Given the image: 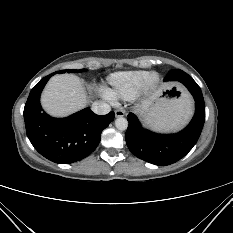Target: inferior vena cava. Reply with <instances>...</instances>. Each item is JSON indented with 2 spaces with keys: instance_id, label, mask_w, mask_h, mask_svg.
<instances>
[{
  "instance_id": "602c4592",
  "label": "inferior vena cava",
  "mask_w": 233,
  "mask_h": 233,
  "mask_svg": "<svg viewBox=\"0 0 233 233\" xmlns=\"http://www.w3.org/2000/svg\"><path fill=\"white\" fill-rule=\"evenodd\" d=\"M91 110L98 115H105L111 111L109 104L102 101H95L92 104Z\"/></svg>"
}]
</instances>
